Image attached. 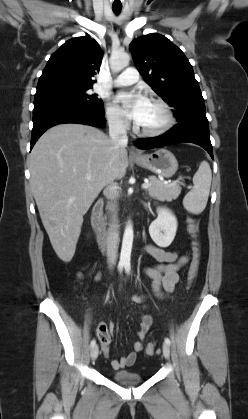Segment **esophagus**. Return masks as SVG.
<instances>
[{"mask_svg": "<svg viewBox=\"0 0 248 419\" xmlns=\"http://www.w3.org/2000/svg\"><path fill=\"white\" fill-rule=\"evenodd\" d=\"M129 155L133 157L140 156V152L131 147L129 150Z\"/></svg>", "mask_w": 248, "mask_h": 419, "instance_id": "obj_1", "label": "esophagus"}]
</instances>
